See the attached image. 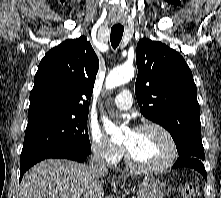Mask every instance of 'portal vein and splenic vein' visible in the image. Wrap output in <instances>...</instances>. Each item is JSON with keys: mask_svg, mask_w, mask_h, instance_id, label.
Wrapping results in <instances>:
<instances>
[{"mask_svg": "<svg viewBox=\"0 0 221 198\" xmlns=\"http://www.w3.org/2000/svg\"><path fill=\"white\" fill-rule=\"evenodd\" d=\"M71 198H80V195H74Z\"/></svg>", "mask_w": 221, "mask_h": 198, "instance_id": "1", "label": "portal vein and splenic vein"}]
</instances>
